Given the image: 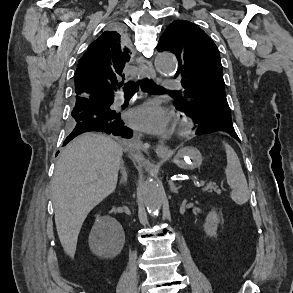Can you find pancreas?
Segmentation results:
<instances>
[{"label": "pancreas", "instance_id": "cf45deb5", "mask_svg": "<svg viewBox=\"0 0 293 293\" xmlns=\"http://www.w3.org/2000/svg\"><path fill=\"white\" fill-rule=\"evenodd\" d=\"M202 191L203 192H208V193H212V192H215L217 194H220L221 193V190L218 188V186L213 183V182H210L208 183L205 187L202 188Z\"/></svg>", "mask_w": 293, "mask_h": 293}]
</instances>
